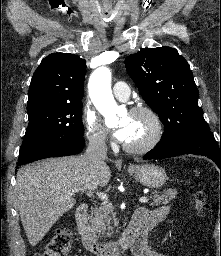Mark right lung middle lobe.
Segmentation results:
<instances>
[{"mask_svg":"<svg viewBox=\"0 0 221 256\" xmlns=\"http://www.w3.org/2000/svg\"><path fill=\"white\" fill-rule=\"evenodd\" d=\"M27 112L29 124L20 153L47 139L84 135L82 103L48 104Z\"/></svg>","mask_w":221,"mask_h":256,"instance_id":"1","label":"right lung middle lobe"}]
</instances>
